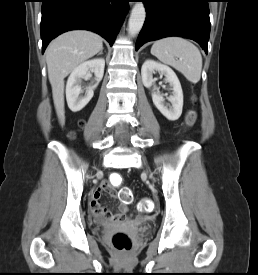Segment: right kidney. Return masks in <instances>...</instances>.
<instances>
[{
  "mask_svg": "<svg viewBox=\"0 0 258 275\" xmlns=\"http://www.w3.org/2000/svg\"><path fill=\"white\" fill-rule=\"evenodd\" d=\"M105 60L102 58L86 61L76 67L70 74L66 85V99L68 107L73 112L83 109L94 95V89L103 78ZM94 72L96 83L86 89L85 95L80 96L81 79Z\"/></svg>",
  "mask_w": 258,
  "mask_h": 275,
  "instance_id": "obj_1",
  "label": "right kidney"
}]
</instances>
